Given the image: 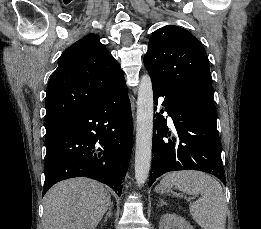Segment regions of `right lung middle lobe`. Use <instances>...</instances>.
<instances>
[{"mask_svg":"<svg viewBox=\"0 0 261 229\" xmlns=\"http://www.w3.org/2000/svg\"><path fill=\"white\" fill-rule=\"evenodd\" d=\"M50 132H52L51 130H46V134H48V133H50Z\"/></svg>","mask_w":261,"mask_h":229,"instance_id":"right-lung-middle-lobe-1","label":"right lung middle lobe"}]
</instances>
